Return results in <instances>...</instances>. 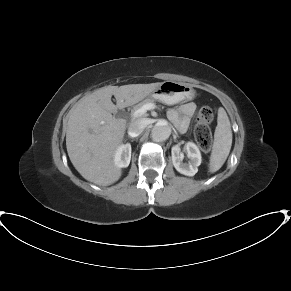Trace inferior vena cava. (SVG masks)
<instances>
[{
	"label": "inferior vena cava",
	"mask_w": 291,
	"mask_h": 291,
	"mask_svg": "<svg viewBox=\"0 0 291 291\" xmlns=\"http://www.w3.org/2000/svg\"><path fill=\"white\" fill-rule=\"evenodd\" d=\"M149 124L150 120L148 118H141L133 121L128 127V135L130 137L139 136Z\"/></svg>",
	"instance_id": "602c4592"
}]
</instances>
